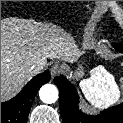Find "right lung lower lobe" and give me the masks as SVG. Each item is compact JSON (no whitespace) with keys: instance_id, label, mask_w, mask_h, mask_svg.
<instances>
[{"instance_id":"1","label":"right lung lower lobe","mask_w":123,"mask_h":123,"mask_svg":"<svg viewBox=\"0 0 123 123\" xmlns=\"http://www.w3.org/2000/svg\"><path fill=\"white\" fill-rule=\"evenodd\" d=\"M50 80L46 70L37 75L13 99L1 103V123H27L28 114L35 95L40 87Z\"/></svg>"}]
</instances>
